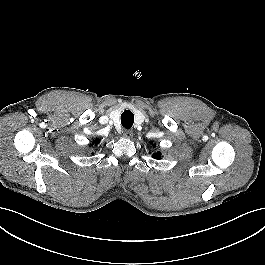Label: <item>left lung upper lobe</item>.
<instances>
[{"instance_id": "5c2ea615", "label": "left lung upper lobe", "mask_w": 265, "mask_h": 265, "mask_svg": "<svg viewBox=\"0 0 265 265\" xmlns=\"http://www.w3.org/2000/svg\"><path fill=\"white\" fill-rule=\"evenodd\" d=\"M153 158L160 159L161 158V153L160 152L154 153L153 154Z\"/></svg>"}]
</instances>
